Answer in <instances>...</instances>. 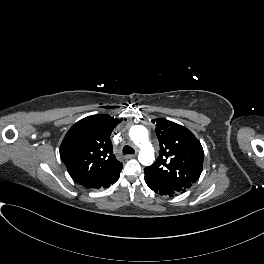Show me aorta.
Wrapping results in <instances>:
<instances>
[{
	"label": "aorta",
	"mask_w": 264,
	"mask_h": 264,
	"mask_svg": "<svg viewBox=\"0 0 264 264\" xmlns=\"http://www.w3.org/2000/svg\"><path fill=\"white\" fill-rule=\"evenodd\" d=\"M130 137L132 141L140 148L139 162L143 165H149L154 160L152 146L148 139V131L145 127L136 125L130 129Z\"/></svg>",
	"instance_id": "1"
}]
</instances>
